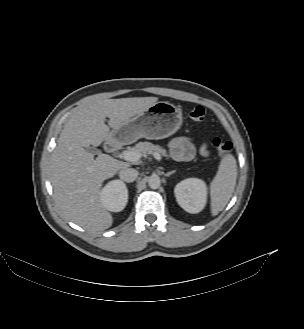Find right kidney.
<instances>
[{"label":"right kidney","instance_id":"obj_1","mask_svg":"<svg viewBox=\"0 0 304 329\" xmlns=\"http://www.w3.org/2000/svg\"><path fill=\"white\" fill-rule=\"evenodd\" d=\"M100 199L107 210L120 212L127 204L128 189L122 181L112 180L102 188Z\"/></svg>","mask_w":304,"mask_h":329}]
</instances>
